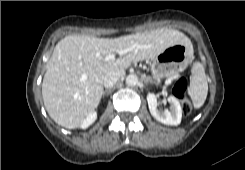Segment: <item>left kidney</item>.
<instances>
[{
    "label": "left kidney",
    "instance_id": "left-kidney-1",
    "mask_svg": "<svg viewBox=\"0 0 245 170\" xmlns=\"http://www.w3.org/2000/svg\"><path fill=\"white\" fill-rule=\"evenodd\" d=\"M168 102L171 104L170 110L160 111L157 109L158 102L154 93H148L147 102L151 115L159 122L167 125L177 126L181 123L182 108L177 98L170 96Z\"/></svg>",
    "mask_w": 245,
    "mask_h": 170
}]
</instances>
